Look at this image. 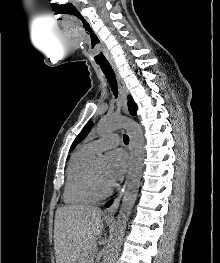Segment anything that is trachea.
Here are the masks:
<instances>
[{
    "mask_svg": "<svg viewBox=\"0 0 220 263\" xmlns=\"http://www.w3.org/2000/svg\"><path fill=\"white\" fill-rule=\"evenodd\" d=\"M100 68L102 69L103 73L105 74V77L112 89V92L115 97L118 95V86H117V81L115 77V73L111 67V65H99ZM123 141L127 145L129 143V137L127 135L123 136Z\"/></svg>",
    "mask_w": 220,
    "mask_h": 263,
    "instance_id": "1",
    "label": "trachea"
}]
</instances>
